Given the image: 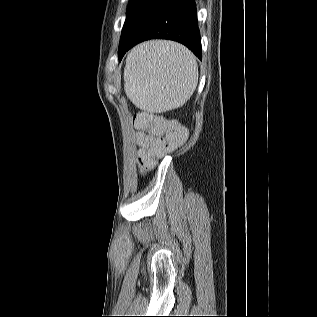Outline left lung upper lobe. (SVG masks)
<instances>
[{"mask_svg":"<svg viewBox=\"0 0 317 317\" xmlns=\"http://www.w3.org/2000/svg\"><path fill=\"white\" fill-rule=\"evenodd\" d=\"M166 0H130L120 45L130 41Z\"/></svg>","mask_w":317,"mask_h":317,"instance_id":"obj_1","label":"left lung upper lobe"}]
</instances>
